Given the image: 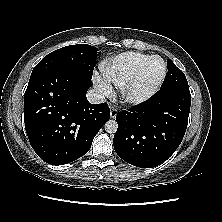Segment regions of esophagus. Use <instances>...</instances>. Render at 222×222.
<instances>
[{
    "label": "esophagus",
    "mask_w": 222,
    "mask_h": 222,
    "mask_svg": "<svg viewBox=\"0 0 222 222\" xmlns=\"http://www.w3.org/2000/svg\"><path fill=\"white\" fill-rule=\"evenodd\" d=\"M117 113H118V111H117V108L116 107H111V110H110V117L111 118H116V116H117Z\"/></svg>",
    "instance_id": "1"
}]
</instances>
